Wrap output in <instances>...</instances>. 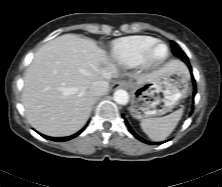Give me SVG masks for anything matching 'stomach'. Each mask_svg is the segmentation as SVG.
Here are the masks:
<instances>
[{"instance_id": "1", "label": "stomach", "mask_w": 222, "mask_h": 187, "mask_svg": "<svg viewBox=\"0 0 222 187\" xmlns=\"http://www.w3.org/2000/svg\"><path fill=\"white\" fill-rule=\"evenodd\" d=\"M188 88L187 70L162 69L151 81L133 85L129 111L136 119L164 115L186 96Z\"/></svg>"}]
</instances>
